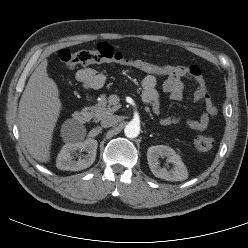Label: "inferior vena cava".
I'll use <instances>...</instances> for the list:
<instances>
[{
	"instance_id": "obj_1",
	"label": "inferior vena cava",
	"mask_w": 248,
	"mask_h": 248,
	"mask_svg": "<svg viewBox=\"0 0 248 248\" xmlns=\"http://www.w3.org/2000/svg\"><path fill=\"white\" fill-rule=\"evenodd\" d=\"M118 122V118L116 115H111L103 118L101 120V126L104 128L111 127Z\"/></svg>"
}]
</instances>
